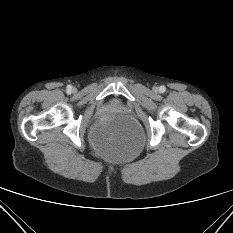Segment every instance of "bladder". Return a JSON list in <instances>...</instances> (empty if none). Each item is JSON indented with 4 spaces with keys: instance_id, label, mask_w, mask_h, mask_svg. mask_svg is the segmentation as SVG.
<instances>
[{
    "instance_id": "bladder-1",
    "label": "bladder",
    "mask_w": 233,
    "mask_h": 233,
    "mask_svg": "<svg viewBox=\"0 0 233 233\" xmlns=\"http://www.w3.org/2000/svg\"><path fill=\"white\" fill-rule=\"evenodd\" d=\"M93 142L100 154L111 158H129L137 152V147L133 145L109 140V138L100 134L94 135Z\"/></svg>"
}]
</instances>
